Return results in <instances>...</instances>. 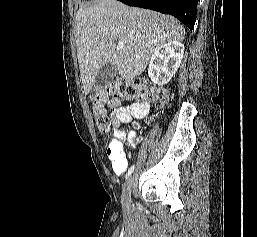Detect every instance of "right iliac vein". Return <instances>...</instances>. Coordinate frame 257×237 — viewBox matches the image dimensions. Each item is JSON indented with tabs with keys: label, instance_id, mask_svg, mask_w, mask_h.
<instances>
[{
	"label": "right iliac vein",
	"instance_id": "obj_1",
	"mask_svg": "<svg viewBox=\"0 0 257 237\" xmlns=\"http://www.w3.org/2000/svg\"><path fill=\"white\" fill-rule=\"evenodd\" d=\"M132 184H133V178L132 176H130L124 184L123 193H122V202L125 207H127L131 201Z\"/></svg>",
	"mask_w": 257,
	"mask_h": 237
}]
</instances>
